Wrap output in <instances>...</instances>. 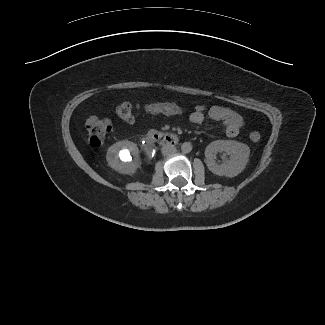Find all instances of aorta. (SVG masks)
<instances>
[{"instance_id": "762f6f07", "label": "aorta", "mask_w": 325, "mask_h": 325, "mask_svg": "<svg viewBox=\"0 0 325 325\" xmlns=\"http://www.w3.org/2000/svg\"><path fill=\"white\" fill-rule=\"evenodd\" d=\"M191 150H192V145H191V143L190 142H185V143H183L182 145H181V151L183 152V153H189V152H191Z\"/></svg>"}]
</instances>
